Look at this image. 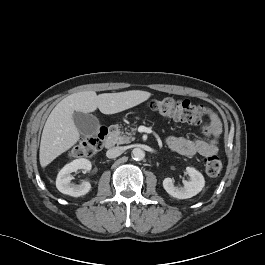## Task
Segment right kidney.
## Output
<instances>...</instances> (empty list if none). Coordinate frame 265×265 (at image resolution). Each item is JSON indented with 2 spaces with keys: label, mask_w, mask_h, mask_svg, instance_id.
<instances>
[{
  "label": "right kidney",
  "mask_w": 265,
  "mask_h": 265,
  "mask_svg": "<svg viewBox=\"0 0 265 265\" xmlns=\"http://www.w3.org/2000/svg\"><path fill=\"white\" fill-rule=\"evenodd\" d=\"M91 162L88 159L80 158L73 160L66 164L58 173L56 178V187L63 193L73 197H80L87 194L91 190V184L87 181H83L80 185L72 184L71 176L72 172H76L79 169L90 171Z\"/></svg>",
  "instance_id": "1"
}]
</instances>
